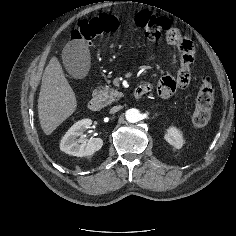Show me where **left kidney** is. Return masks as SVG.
I'll list each match as a JSON object with an SVG mask.
<instances>
[{"instance_id": "obj_1", "label": "left kidney", "mask_w": 236, "mask_h": 236, "mask_svg": "<svg viewBox=\"0 0 236 236\" xmlns=\"http://www.w3.org/2000/svg\"><path fill=\"white\" fill-rule=\"evenodd\" d=\"M164 138L169 144L173 145L177 149H180L184 143L181 132L175 127H170Z\"/></svg>"}]
</instances>
